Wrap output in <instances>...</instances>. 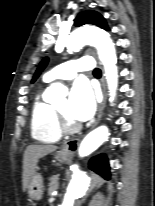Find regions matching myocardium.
Returning <instances> with one entry per match:
<instances>
[{"instance_id":"1","label":"myocardium","mask_w":155,"mask_h":206,"mask_svg":"<svg viewBox=\"0 0 155 206\" xmlns=\"http://www.w3.org/2000/svg\"><path fill=\"white\" fill-rule=\"evenodd\" d=\"M54 112L61 132L75 133L79 130V125L69 120L56 106L54 107Z\"/></svg>"}]
</instances>
